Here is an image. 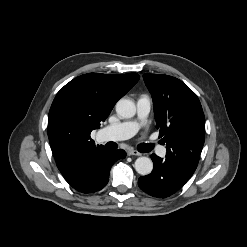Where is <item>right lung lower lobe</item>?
<instances>
[{
	"label": "right lung lower lobe",
	"mask_w": 247,
	"mask_h": 247,
	"mask_svg": "<svg viewBox=\"0 0 247 247\" xmlns=\"http://www.w3.org/2000/svg\"><path fill=\"white\" fill-rule=\"evenodd\" d=\"M126 157L123 150H104L80 164L77 172L66 181L77 191L93 193L106 186L113 163Z\"/></svg>",
	"instance_id": "right-lung-lower-lobe-1"
}]
</instances>
